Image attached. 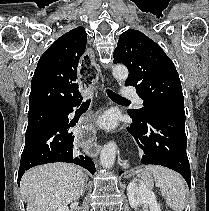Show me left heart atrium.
Segmentation results:
<instances>
[{
  "label": "left heart atrium",
  "instance_id": "39dd6f15",
  "mask_svg": "<svg viewBox=\"0 0 209 211\" xmlns=\"http://www.w3.org/2000/svg\"><path fill=\"white\" fill-rule=\"evenodd\" d=\"M119 123V116L115 111H107L98 119V125L106 130H114Z\"/></svg>",
  "mask_w": 209,
  "mask_h": 211
}]
</instances>
